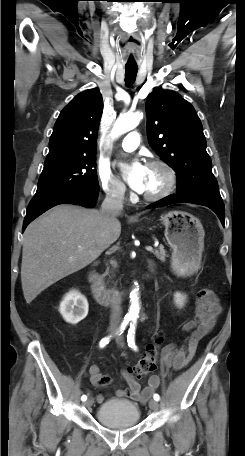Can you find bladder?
Listing matches in <instances>:
<instances>
[{
    "mask_svg": "<svg viewBox=\"0 0 245 456\" xmlns=\"http://www.w3.org/2000/svg\"><path fill=\"white\" fill-rule=\"evenodd\" d=\"M139 407L124 399H110L102 403L96 411V419L106 427L124 429L136 426L140 422Z\"/></svg>",
    "mask_w": 245,
    "mask_h": 456,
    "instance_id": "1",
    "label": "bladder"
}]
</instances>
